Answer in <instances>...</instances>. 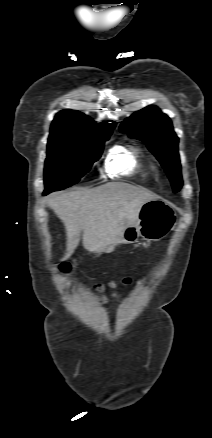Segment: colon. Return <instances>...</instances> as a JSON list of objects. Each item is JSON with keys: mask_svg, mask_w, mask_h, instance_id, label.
I'll return each instance as SVG.
<instances>
[{"mask_svg": "<svg viewBox=\"0 0 212 438\" xmlns=\"http://www.w3.org/2000/svg\"><path fill=\"white\" fill-rule=\"evenodd\" d=\"M68 269H69V265H68V264H63V266H62V270H63V271H67ZM129 282H130L129 279H126V280L124 281L125 284H128ZM111 287H115V285H114V284H111ZM95 289H97V290H102V285H101V284L96 285Z\"/></svg>", "mask_w": 212, "mask_h": 438, "instance_id": "colon-1", "label": "colon"}]
</instances>
